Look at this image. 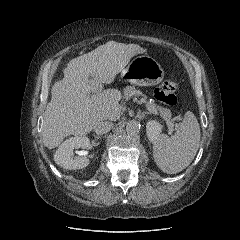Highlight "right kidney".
Wrapping results in <instances>:
<instances>
[{"label": "right kidney", "mask_w": 240, "mask_h": 240, "mask_svg": "<svg viewBox=\"0 0 240 240\" xmlns=\"http://www.w3.org/2000/svg\"><path fill=\"white\" fill-rule=\"evenodd\" d=\"M90 144L88 137L75 136L65 140L54 154V161L64 169H82L89 165L87 157L73 158L74 150L86 149Z\"/></svg>", "instance_id": "obj_1"}]
</instances>
